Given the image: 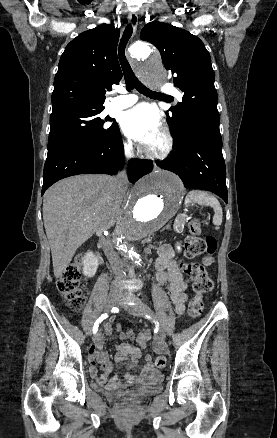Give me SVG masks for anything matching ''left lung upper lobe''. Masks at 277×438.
<instances>
[{"label": "left lung upper lobe", "instance_id": "5c2ea615", "mask_svg": "<svg viewBox=\"0 0 277 438\" xmlns=\"http://www.w3.org/2000/svg\"><path fill=\"white\" fill-rule=\"evenodd\" d=\"M142 40L157 47L173 81L182 92V102L166 112L176 142L182 140L189 122L206 108L217 110V92L209 52L203 42L184 29L152 21L141 30Z\"/></svg>", "mask_w": 277, "mask_h": 438}]
</instances>
